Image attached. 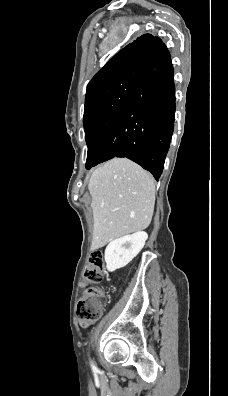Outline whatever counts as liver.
Masks as SVG:
<instances>
[{
  "label": "liver",
  "mask_w": 228,
  "mask_h": 396,
  "mask_svg": "<svg viewBox=\"0 0 228 396\" xmlns=\"http://www.w3.org/2000/svg\"><path fill=\"white\" fill-rule=\"evenodd\" d=\"M88 189L92 197L93 250L149 226L155 182L138 164L114 158L92 173Z\"/></svg>",
  "instance_id": "obj_1"
}]
</instances>
